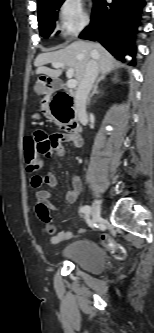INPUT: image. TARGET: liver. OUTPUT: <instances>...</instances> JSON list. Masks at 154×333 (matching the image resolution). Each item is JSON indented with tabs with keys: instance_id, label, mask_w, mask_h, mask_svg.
Masks as SVG:
<instances>
[{
	"instance_id": "6515ba94",
	"label": "liver",
	"mask_w": 154,
	"mask_h": 333,
	"mask_svg": "<svg viewBox=\"0 0 154 333\" xmlns=\"http://www.w3.org/2000/svg\"><path fill=\"white\" fill-rule=\"evenodd\" d=\"M94 59L98 63L102 75L108 74L116 63L113 56L99 43L77 40L64 49L54 52L42 53L35 59L36 74H45L51 78H58L63 73L62 69H50L48 63H64L74 69L75 79L80 83L85 75L87 63Z\"/></svg>"
}]
</instances>
